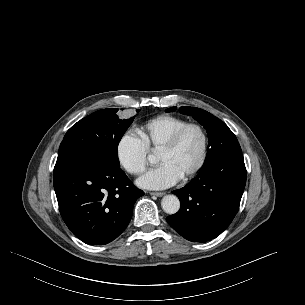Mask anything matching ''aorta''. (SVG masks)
I'll list each match as a JSON object with an SVG mask.
<instances>
[{
  "mask_svg": "<svg viewBox=\"0 0 305 305\" xmlns=\"http://www.w3.org/2000/svg\"><path fill=\"white\" fill-rule=\"evenodd\" d=\"M161 206L167 214L172 215L178 212L180 201L175 195H166L162 198Z\"/></svg>",
  "mask_w": 305,
  "mask_h": 305,
  "instance_id": "1",
  "label": "aorta"
}]
</instances>
